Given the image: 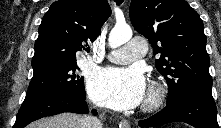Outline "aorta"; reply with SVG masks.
I'll return each mask as SVG.
<instances>
[{
  "label": "aorta",
  "instance_id": "obj_1",
  "mask_svg": "<svg viewBox=\"0 0 221 128\" xmlns=\"http://www.w3.org/2000/svg\"><path fill=\"white\" fill-rule=\"evenodd\" d=\"M132 38V29L128 25H116L110 32L108 37L109 47L114 49Z\"/></svg>",
  "mask_w": 221,
  "mask_h": 128
}]
</instances>
